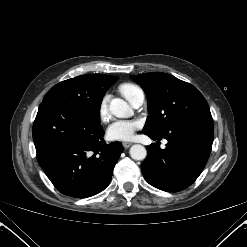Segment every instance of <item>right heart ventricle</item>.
Returning <instances> with one entry per match:
<instances>
[{"mask_svg":"<svg viewBox=\"0 0 247 247\" xmlns=\"http://www.w3.org/2000/svg\"><path fill=\"white\" fill-rule=\"evenodd\" d=\"M119 91L128 101H130L137 92L141 91V89L132 83H123L119 86Z\"/></svg>","mask_w":247,"mask_h":247,"instance_id":"obj_1","label":"right heart ventricle"}]
</instances>
